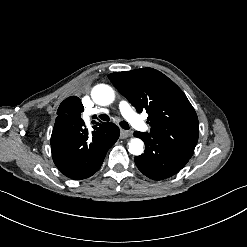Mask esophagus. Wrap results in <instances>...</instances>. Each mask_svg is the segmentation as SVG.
<instances>
[{"instance_id":"1","label":"esophagus","mask_w":247,"mask_h":247,"mask_svg":"<svg viewBox=\"0 0 247 247\" xmlns=\"http://www.w3.org/2000/svg\"><path fill=\"white\" fill-rule=\"evenodd\" d=\"M129 135H130L129 131L121 130V132H120V138L121 139H125V138L129 137Z\"/></svg>"}]
</instances>
